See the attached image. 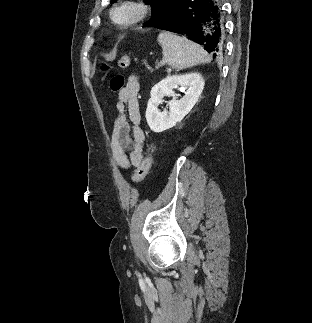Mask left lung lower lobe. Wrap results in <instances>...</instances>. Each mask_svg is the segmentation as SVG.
<instances>
[{"label": "left lung lower lobe", "instance_id": "1", "mask_svg": "<svg viewBox=\"0 0 312 323\" xmlns=\"http://www.w3.org/2000/svg\"><path fill=\"white\" fill-rule=\"evenodd\" d=\"M221 0H176L166 19L157 27L202 45L213 55L224 52V22Z\"/></svg>", "mask_w": 312, "mask_h": 323}]
</instances>
